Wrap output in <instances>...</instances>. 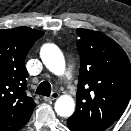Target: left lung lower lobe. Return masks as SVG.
<instances>
[{
	"label": "left lung lower lobe",
	"mask_w": 131,
	"mask_h": 131,
	"mask_svg": "<svg viewBox=\"0 0 131 131\" xmlns=\"http://www.w3.org/2000/svg\"><path fill=\"white\" fill-rule=\"evenodd\" d=\"M67 125L71 131H92L88 129L83 123L71 117L68 118Z\"/></svg>",
	"instance_id": "obj_1"
}]
</instances>
